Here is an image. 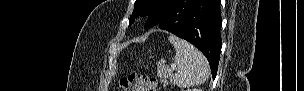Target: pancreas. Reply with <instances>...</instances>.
<instances>
[{"label": "pancreas", "mask_w": 304, "mask_h": 91, "mask_svg": "<svg viewBox=\"0 0 304 91\" xmlns=\"http://www.w3.org/2000/svg\"><path fill=\"white\" fill-rule=\"evenodd\" d=\"M157 76L161 79V82L166 85L168 84V78L172 76V70L163 64L157 66Z\"/></svg>", "instance_id": "cf45deb5"}]
</instances>
